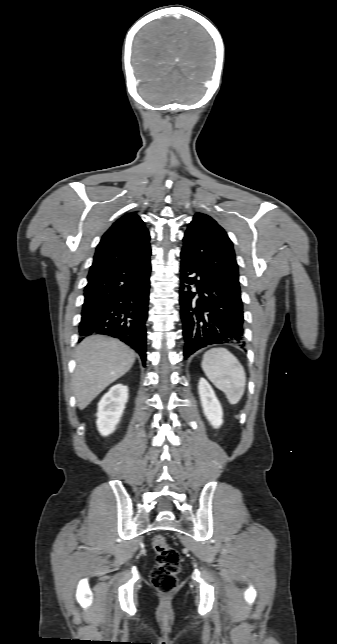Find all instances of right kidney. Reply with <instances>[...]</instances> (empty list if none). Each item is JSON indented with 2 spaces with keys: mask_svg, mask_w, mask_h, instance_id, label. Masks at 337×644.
<instances>
[{
  "mask_svg": "<svg viewBox=\"0 0 337 644\" xmlns=\"http://www.w3.org/2000/svg\"><path fill=\"white\" fill-rule=\"evenodd\" d=\"M128 400V387L122 384L113 386L98 403L97 428L101 435L113 433Z\"/></svg>",
  "mask_w": 337,
  "mask_h": 644,
  "instance_id": "right-kidney-1",
  "label": "right kidney"
}]
</instances>
